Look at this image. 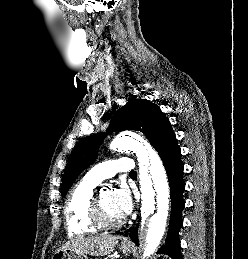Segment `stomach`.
Returning <instances> with one entry per match:
<instances>
[{"mask_svg": "<svg viewBox=\"0 0 248 259\" xmlns=\"http://www.w3.org/2000/svg\"><path fill=\"white\" fill-rule=\"evenodd\" d=\"M120 249L124 254H130L133 252L132 246L121 245ZM52 259H89V258L86 254L79 253L71 249H67V250H57L54 253Z\"/></svg>", "mask_w": 248, "mask_h": 259, "instance_id": "1", "label": "stomach"}]
</instances>
